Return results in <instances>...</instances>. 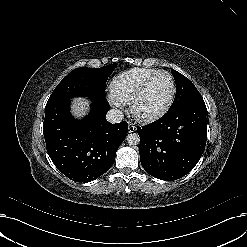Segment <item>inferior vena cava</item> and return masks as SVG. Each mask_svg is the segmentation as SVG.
<instances>
[{
    "instance_id": "obj_1",
    "label": "inferior vena cava",
    "mask_w": 247,
    "mask_h": 247,
    "mask_svg": "<svg viewBox=\"0 0 247 247\" xmlns=\"http://www.w3.org/2000/svg\"><path fill=\"white\" fill-rule=\"evenodd\" d=\"M106 119L110 123H119L124 119V115L119 109H110L106 115Z\"/></svg>"
}]
</instances>
